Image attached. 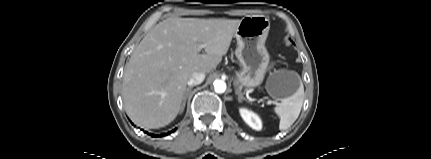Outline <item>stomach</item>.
Instances as JSON below:
<instances>
[{
	"label": "stomach",
	"mask_w": 431,
	"mask_h": 159,
	"mask_svg": "<svg viewBox=\"0 0 431 159\" xmlns=\"http://www.w3.org/2000/svg\"><path fill=\"white\" fill-rule=\"evenodd\" d=\"M270 21L263 15H251L241 19L234 37L237 40L236 57L241 70L235 83L240 87L255 88L262 84L269 64V53L265 41ZM301 80L296 72L279 70L270 73L266 90L277 100L293 96L300 88Z\"/></svg>",
	"instance_id": "0dacf381"
}]
</instances>
